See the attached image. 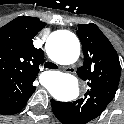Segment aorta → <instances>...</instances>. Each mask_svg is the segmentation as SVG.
Instances as JSON below:
<instances>
[{"label": "aorta", "instance_id": "aorta-1", "mask_svg": "<svg viewBox=\"0 0 124 124\" xmlns=\"http://www.w3.org/2000/svg\"><path fill=\"white\" fill-rule=\"evenodd\" d=\"M48 54L60 64H72L80 55L79 40L70 31H59L48 43ZM42 85L59 101L68 102L79 96L77 79L71 74L47 72L42 79Z\"/></svg>", "mask_w": 124, "mask_h": 124}]
</instances>
